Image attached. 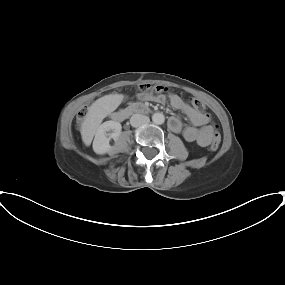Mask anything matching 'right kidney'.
<instances>
[{"label": "right kidney", "mask_w": 285, "mask_h": 285, "mask_svg": "<svg viewBox=\"0 0 285 285\" xmlns=\"http://www.w3.org/2000/svg\"><path fill=\"white\" fill-rule=\"evenodd\" d=\"M122 126L119 122L106 121L101 124L95 134L93 150L96 154L103 155L113 152V147L109 144L111 139L117 140L121 134ZM112 133L108 134V132ZM109 135V137H107Z\"/></svg>", "instance_id": "obj_1"}]
</instances>
